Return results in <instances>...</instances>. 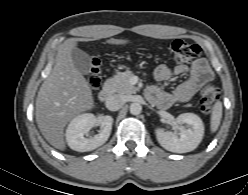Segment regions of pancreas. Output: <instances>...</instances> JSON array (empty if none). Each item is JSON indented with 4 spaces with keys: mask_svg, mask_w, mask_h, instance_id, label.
Returning <instances> with one entry per match:
<instances>
[{
    "mask_svg": "<svg viewBox=\"0 0 248 195\" xmlns=\"http://www.w3.org/2000/svg\"><path fill=\"white\" fill-rule=\"evenodd\" d=\"M133 76L134 73L132 71L120 72L106 81L105 88L111 93L133 94L137 90L136 87L130 83Z\"/></svg>",
    "mask_w": 248,
    "mask_h": 195,
    "instance_id": "cf45deb5",
    "label": "pancreas"
}]
</instances>
